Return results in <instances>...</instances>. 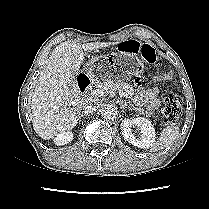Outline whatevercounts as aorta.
<instances>
[{
    "label": "aorta",
    "mask_w": 209,
    "mask_h": 209,
    "mask_svg": "<svg viewBox=\"0 0 209 209\" xmlns=\"http://www.w3.org/2000/svg\"><path fill=\"white\" fill-rule=\"evenodd\" d=\"M118 117V111L115 107L108 106L103 110V118L105 120H114Z\"/></svg>",
    "instance_id": "762f6f07"
}]
</instances>
